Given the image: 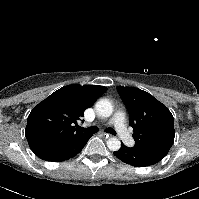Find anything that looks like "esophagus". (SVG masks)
<instances>
[{
  "label": "esophagus",
  "instance_id": "esophagus-1",
  "mask_svg": "<svg viewBox=\"0 0 199 199\" xmlns=\"http://www.w3.org/2000/svg\"><path fill=\"white\" fill-rule=\"evenodd\" d=\"M102 135H103L105 138H109V137L111 136L110 134L105 133V132H103Z\"/></svg>",
  "mask_w": 199,
  "mask_h": 199
}]
</instances>
